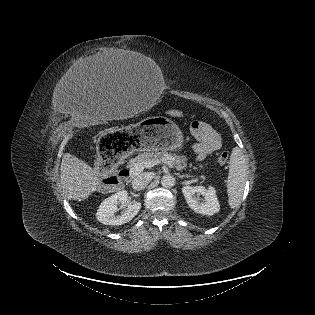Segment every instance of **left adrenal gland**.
Wrapping results in <instances>:
<instances>
[{
	"label": "left adrenal gland",
	"mask_w": 315,
	"mask_h": 315,
	"mask_svg": "<svg viewBox=\"0 0 315 315\" xmlns=\"http://www.w3.org/2000/svg\"><path fill=\"white\" fill-rule=\"evenodd\" d=\"M178 177L179 178H184V177H191V175H188V174H183V175H181V174H178Z\"/></svg>",
	"instance_id": "left-adrenal-gland-1"
}]
</instances>
